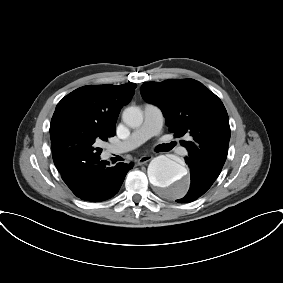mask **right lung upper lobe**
<instances>
[{"instance_id":"1","label":"right lung upper lobe","mask_w":283,"mask_h":283,"mask_svg":"<svg viewBox=\"0 0 283 283\" xmlns=\"http://www.w3.org/2000/svg\"><path fill=\"white\" fill-rule=\"evenodd\" d=\"M136 86L135 83L84 86L58 103L50 125L52 156L58 170L70 164L67 160L68 126H94L114 136L119 112L131 100Z\"/></svg>"}]
</instances>
